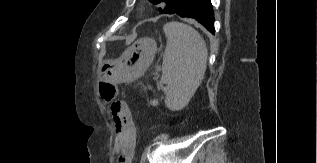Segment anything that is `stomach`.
Here are the masks:
<instances>
[{
    "instance_id": "1",
    "label": "stomach",
    "mask_w": 317,
    "mask_h": 163,
    "mask_svg": "<svg viewBox=\"0 0 317 163\" xmlns=\"http://www.w3.org/2000/svg\"><path fill=\"white\" fill-rule=\"evenodd\" d=\"M156 50L157 45L153 39H139L119 59L103 61L98 68V77L112 82L134 80L150 66Z\"/></svg>"
}]
</instances>
